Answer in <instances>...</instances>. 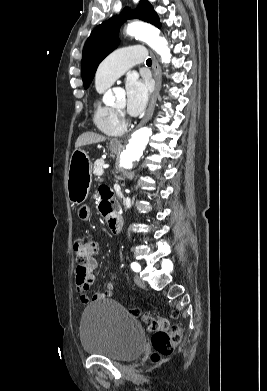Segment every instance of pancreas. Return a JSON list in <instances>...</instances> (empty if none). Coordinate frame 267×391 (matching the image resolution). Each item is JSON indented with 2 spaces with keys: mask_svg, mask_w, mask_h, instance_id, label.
I'll return each instance as SVG.
<instances>
[{
  "mask_svg": "<svg viewBox=\"0 0 267 391\" xmlns=\"http://www.w3.org/2000/svg\"><path fill=\"white\" fill-rule=\"evenodd\" d=\"M103 166H104L103 159L96 160L93 166V174H95L98 177L102 176L104 173Z\"/></svg>",
  "mask_w": 267,
  "mask_h": 391,
  "instance_id": "obj_1",
  "label": "pancreas"
}]
</instances>
